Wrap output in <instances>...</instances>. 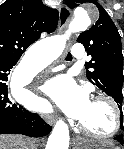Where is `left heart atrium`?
<instances>
[{
  "mask_svg": "<svg viewBox=\"0 0 124 149\" xmlns=\"http://www.w3.org/2000/svg\"><path fill=\"white\" fill-rule=\"evenodd\" d=\"M45 91L78 120L85 115L92 102L88 91L79 86L69 75L52 79L46 84Z\"/></svg>",
  "mask_w": 124,
  "mask_h": 149,
  "instance_id": "1",
  "label": "left heart atrium"
}]
</instances>
